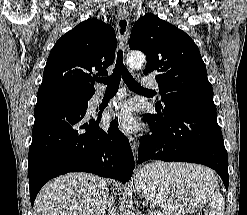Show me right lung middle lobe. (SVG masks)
<instances>
[{"instance_id": "1", "label": "right lung middle lobe", "mask_w": 247, "mask_h": 215, "mask_svg": "<svg viewBox=\"0 0 247 215\" xmlns=\"http://www.w3.org/2000/svg\"><path fill=\"white\" fill-rule=\"evenodd\" d=\"M52 93L64 97L66 99L79 102V103H86L87 100L91 97L88 95L79 94L70 90L60 89V88H51L49 89Z\"/></svg>"}]
</instances>
